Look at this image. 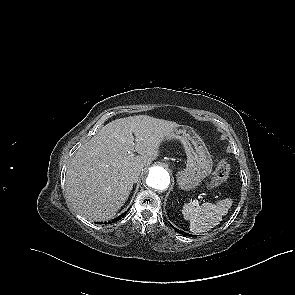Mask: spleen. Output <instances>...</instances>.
Listing matches in <instances>:
<instances>
[{"label":"spleen","mask_w":295,"mask_h":295,"mask_svg":"<svg viewBox=\"0 0 295 295\" xmlns=\"http://www.w3.org/2000/svg\"><path fill=\"white\" fill-rule=\"evenodd\" d=\"M232 203L231 198L220 200L217 204L206 202L201 206L193 201L184 204L182 214L185 220H189L191 232L202 233L220 224Z\"/></svg>","instance_id":"obj_1"}]
</instances>
